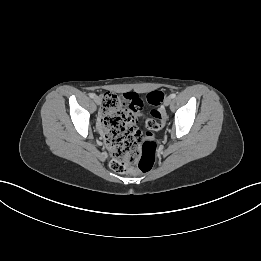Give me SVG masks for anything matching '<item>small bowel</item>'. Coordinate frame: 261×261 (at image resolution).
<instances>
[{
    "label": "small bowel",
    "instance_id": "1",
    "mask_svg": "<svg viewBox=\"0 0 261 261\" xmlns=\"http://www.w3.org/2000/svg\"><path fill=\"white\" fill-rule=\"evenodd\" d=\"M129 94H133V93H129ZM129 94H126V95H125V100H126V97H127ZM129 113L131 114V116H132V121H133V123L135 124L136 118H137V116L140 115V113H139L138 115H135V114H134L133 112H131V111H129Z\"/></svg>",
    "mask_w": 261,
    "mask_h": 261
}]
</instances>
